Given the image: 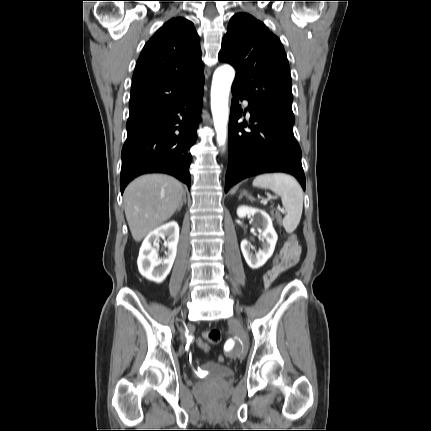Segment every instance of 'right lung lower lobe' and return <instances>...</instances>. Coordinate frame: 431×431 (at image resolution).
Here are the masks:
<instances>
[{
    "instance_id": "98d812e1",
    "label": "right lung lower lobe",
    "mask_w": 431,
    "mask_h": 431,
    "mask_svg": "<svg viewBox=\"0 0 431 431\" xmlns=\"http://www.w3.org/2000/svg\"><path fill=\"white\" fill-rule=\"evenodd\" d=\"M203 85L171 104L129 116L121 155V193L131 180L145 173H167L190 188L189 149L197 138Z\"/></svg>"
}]
</instances>
